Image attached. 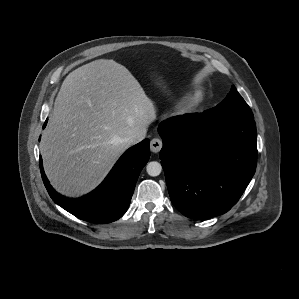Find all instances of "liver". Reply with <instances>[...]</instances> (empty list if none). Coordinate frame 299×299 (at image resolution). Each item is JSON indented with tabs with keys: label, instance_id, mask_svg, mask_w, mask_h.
<instances>
[{
	"label": "liver",
	"instance_id": "obj_1",
	"mask_svg": "<svg viewBox=\"0 0 299 299\" xmlns=\"http://www.w3.org/2000/svg\"><path fill=\"white\" fill-rule=\"evenodd\" d=\"M156 119L153 102L129 70L99 59L63 81L40 145L53 187L76 197L94 189L128 148L122 138Z\"/></svg>",
	"mask_w": 299,
	"mask_h": 299
}]
</instances>
